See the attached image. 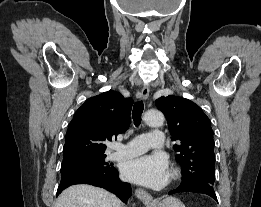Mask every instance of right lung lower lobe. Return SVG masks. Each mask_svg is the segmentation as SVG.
<instances>
[{"label":"right lung lower lobe","mask_w":261,"mask_h":207,"mask_svg":"<svg viewBox=\"0 0 261 207\" xmlns=\"http://www.w3.org/2000/svg\"><path fill=\"white\" fill-rule=\"evenodd\" d=\"M74 184H90L104 188L116 194L124 203H127L131 196L130 184L119 179L118 171L115 168L107 171H83L63 175L58 186L57 196L65 188Z\"/></svg>","instance_id":"1"}]
</instances>
